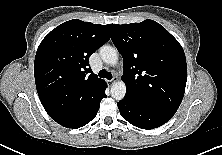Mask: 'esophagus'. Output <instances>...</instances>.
I'll use <instances>...</instances> for the list:
<instances>
[{
	"mask_svg": "<svg viewBox=\"0 0 222 155\" xmlns=\"http://www.w3.org/2000/svg\"><path fill=\"white\" fill-rule=\"evenodd\" d=\"M117 79H118V78H117L116 76H114L111 80H109V82H110V83H113V82L117 81Z\"/></svg>",
	"mask_w": 222,
	"mask_h": 155,
	"instance_id": "obj_1",
	"label": "esophagus"
}]
</instances>
